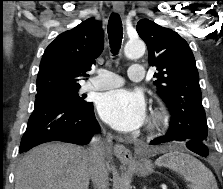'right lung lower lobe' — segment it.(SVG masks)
Instances as JSON below:
<instances>
[{
	"mask_svg": "<svg viewBox=\"0 0 223 189\" xmlns=\"http://www.w3.org/2000/svg\"><path fill=\"white\" fill-rule=\"evenodd\" d=\"M99 131L92 103L79 109L61 102L37 100L19 152L50 141L86 144Z\"/></svg>",
	"mask_w": 223,
	"mask_h": 189,
	"instance_id": "right-lung-lower-lobe-1",
	"label": "right lung lower lobe"
}]
</instances>
